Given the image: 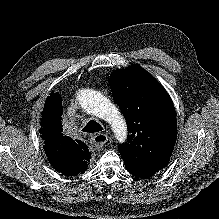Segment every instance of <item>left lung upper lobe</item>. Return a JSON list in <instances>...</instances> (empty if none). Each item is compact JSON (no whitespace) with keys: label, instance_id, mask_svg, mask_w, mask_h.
<instances>
[{"label":"left lung upper lobe","instance_id":"obj_1","mask_svg":"<svg viewBox=\"0 0 219 219\" xmlns=\"http://www.w3.org/2000/svg\"><path fill=\"white\" fill-rule=\"evenodd\" d=\"M109 84L130 132L119 146L125 166L166 167L177 136L175 108L166 90L139 65L114 71Z\"/></svg>","mask_w":219,"mask_h":219}]
</instances>
